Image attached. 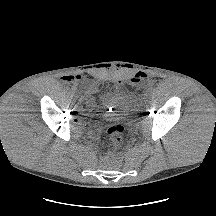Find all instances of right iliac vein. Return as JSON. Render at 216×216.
<instances>
[{
	"label": "right iliac vein",
	"instance_id": "right-iliac-vein-1",
	"mask_svg": "<svg viewBox=\"0 0 216 216\" xmlns=\"http://www.w3.org/2000/svg\"><path fill=\"white\" fill-rule=\"evenodd\" d=\"M75 91H76V90H75ZM74 95H75L77 98L80 96L78 91H76V92L74 93Z\"/></svg>",
	"mask_w": 216,
	"mask_h": 216
}]
</instances>
